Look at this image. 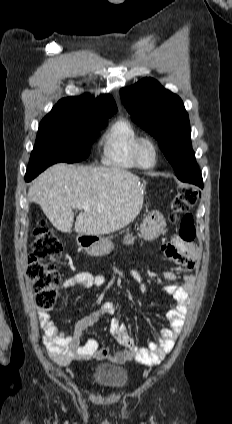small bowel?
I'll list each match as a JSON object with an SVG mask.
<instances>
[{"instance_id": "c3829d8e", "label": "small bowel", "mask_w": 232, "mask_h": 424, "mask_svg": "<svg viewBox=\"0 0 232 424\" xmlns=\"http://www.w3.org/2000/svg\"><path fill=\"white\" fill-rule=\"evenodd\" d=\"M161 251L167 258L180 265L184 272L181 276V283L168 284L164 287V291L175 300L176 304L167 312L166 317L169 325L161 331L159 338L156 341L149 342L147 347L141 348L129 336L125 323L116 317H112L109 332L124 348L113 353L109 348L100 347L98 341L93 338L83 344L81 343L84 333L94 326L102 316H114L115 306L112 302L101 303L90 315L75 324L71 334L62 332L51 320L48 312L39 310L38 319L44 331V344L56 363L68 365L73 361L97 359L119 364L137 361L152 366L159 364L173 350L175 342L182 332L184 317L192 302L193 270L199 260V249L193 242L173 237L170 241L162 244ZM129 276L143 285V277L138 271H129ZM161 278L164 281L173 282L177 275L174 271H165L161 274ZM105 282L106 280L102 275L77 271L64 280L62 287L65 289L74 287L102 288ZM142 292H146L144 288H142Z\"/></svg>"}]
</instances>
